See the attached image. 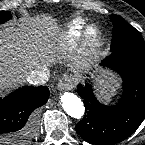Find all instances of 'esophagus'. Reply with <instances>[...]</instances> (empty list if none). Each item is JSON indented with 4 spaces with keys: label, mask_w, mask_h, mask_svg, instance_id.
Returning <instances> with one entry per match:
<instances>
[{
    "label": "esophagus",
    "mask_w": 145,
    "mask_h": 145,
    "mask_svg": "<svg viewBox=\"0 0 145 145\" xmlns=\"http://www.w3.org/2000/svg\"><path fill=\"white\" fill-rule=\"evenodd\" d=\"M74 87V78L71 75H66L58 81L60 90H71Z\"/></svg>",
    "instance_id": "obj_1"
}]
</instances>
